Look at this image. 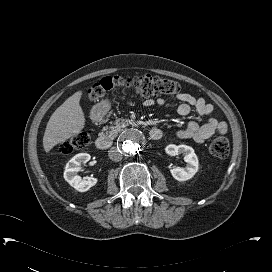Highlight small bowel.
<instances>
[{"label":"small bowel","mask_w":272,"mask_h":272,"mask_svg":"<svg viewBox=\"0 0 272 272\" xmlns=\"http://www.w3.org/2000/svg\"><path fill=\"white\" fill-rule=\"evenodd\" d=\"M177 99L181 102L177 108L180 116H188L191 113V107H194L199 116L207 118L206 122L202 125H199L195 121H189L184 129L177 132L178 138L204 142L214 134L222 135L227 133V123L211 117L214 112V107L211 103L206 102L202 97H197L189 93H179ZM143 104L146 107L154 104L162 106L165 104V101L162 98L157 100L147 99Z\"/></svg>","instance_id":"small-bowel-1"}]
</instances>
